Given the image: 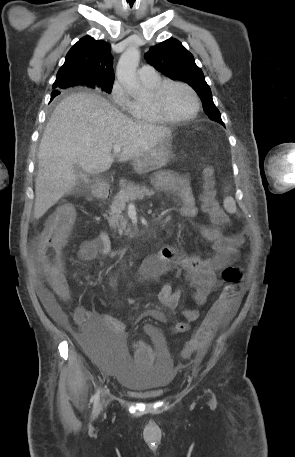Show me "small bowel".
Listing matches in <instances>:
<instances>
[{"mask_svg":"<svg viewBox=\"0 0 295 457\" xmlns=\"http://www.w3.org/2000/svg\"><path fill=\"white\" fill-rule=\"evenodd\" d=\"M155 186L175 194L180 199L182 216L189 218L196 216L197 207L190 180L186 175L172 171L164 172L156 179ZM200 230L203 237L212 243L211 256L201 258L196 255H187L178 252L170 245H165L158 253L147 257L141 269V276L153 281L166 274L174 273L177 278L184 280L194 289L193 299L197 306H202L207 302L209 295L218 286L217 272L229 267L236 259L238 249L243 243V236L240 233L224 235L220 229L211 226H202ZM98 254L113 256L110 237L106 232H101L94 239L85 240L78 253L79 258L83 261L92 260ZM110 283L112 288H115V278H112ZM182 292V288H175L173 283H167L160 290L158 299L165 307L175 309L179 304ZM39 296L46 310L54 318L62 322L66 321L56 300L43 286L39 288ZM183 315L185 321L174 325L175 333L189 331L191 323L199 319L200 313L196 308L185 309ZM147 316L160 322L166 321L165 313L159 309H147L139 314V317ZM75 320L89 338H99L98 334L103 332L121 335L125 330L124 325L113 316L89 311L85 308L76 310ZM145 331L154 341L155 346L164 345L161 333L156 326L147 324ZM203 353L204 350L197 352L196 357L201 358Z\"/></svg>","mask_w":295,"mask_h":457,"instance_id":"obj_1","label":"small bowel"}]
</instances>
